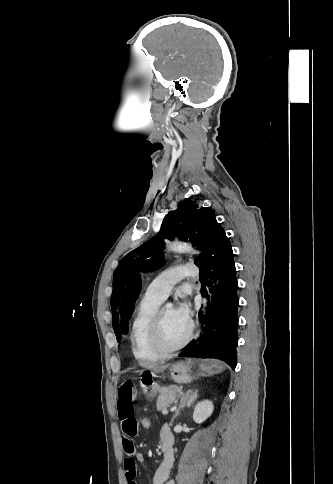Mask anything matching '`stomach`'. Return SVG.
Segmentation results:
<instances>
[{"mask_svg":"<svg viewBox=\"0 0 333 484\" xmlns=\"http://www.w3.org/2000/svg\"><path fill=\"white\" fill-rule=\"evenodd\" d=\"M201 372L199 376H210L218 374L223 370V365L214 360H205L200 364ZM170 377L173 381L177 383H189L194 377H192L189 371V363L187 361L177 362L168 368ZM140 386L143 393L148 397L152 398L160 391V386L155 383L152 379L143 378L140 380Z\"/></svg>","mask_w":333,"mask_h":484,"instance_id":"stomach-1","label":"stomach"}]
</instances>
